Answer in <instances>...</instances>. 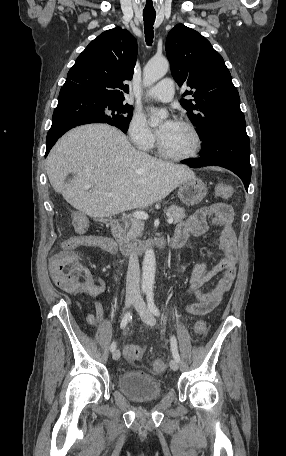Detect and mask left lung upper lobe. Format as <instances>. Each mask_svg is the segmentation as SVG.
I'll return each instance as SVG.
<instances>
[{"instance_id": "1", "label": "left lung upper lobe", "mask_w": 286, "mask_h": 456, "mask_svg": "<svg viewBox=\"0 0 286 456\" xmlns=\"http://www.w3.org/2000/svg\"><path fill=\"white\" fill-rule=\"evenodd\" d=\"M171 72L179 86L192 90L191 100L181 99L189 118L198 128L203 143L218 133H246L240 98L222 56L197 31L176 25L166 40Z\"/></svg>"}]
</instances>
